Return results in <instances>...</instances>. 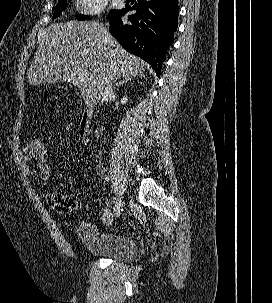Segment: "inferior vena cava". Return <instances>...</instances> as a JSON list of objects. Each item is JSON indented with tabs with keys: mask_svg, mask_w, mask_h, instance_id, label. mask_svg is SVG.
Wrapping results in <instances>:
<instances>
[{
	"mask_svg": "<svg viewBox=\"0 0 272 303\" xmlns=\"http://www.w3.org/2000/svg\"><path fill=\"white\" fill-rule=\"evenodd\" d=\"M108 27H109V24L106 23L105 28H106L107 33H109L108 32ZM104 85H105V87H104V91H103V94H102V102H108L112 99V97L114 95L111 77H108V78L104 79Z\"/></svg>",
	"mask_w": 272,
	"mask_h": 303,
	"instance_id": "1",
	"label": "inferior vena cava"
}]
</instances>
